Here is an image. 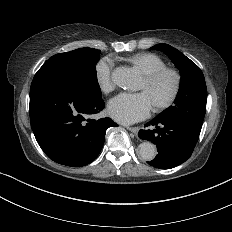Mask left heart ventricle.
I'll return each instance as SVG.
<instances>
[{
	"label": "left heart ventricle",
	"mask_w": 232,
	"mask_h": 232,
	"mask_svg": "<svg viewBox=\"0 0 232 232\" xmlns=\"http://www.w3.org/2000/svg\"><path fill=\"white\" fill-rule=\"evenodd\" d=\"M174 86V79L170 74L163 75L159 81L152 87H147L144 79L140 83L139 89L148 93L155 108L165 101L172 92Z\"/></svg>",
	"instance_id": "1"
}]
</instances>
